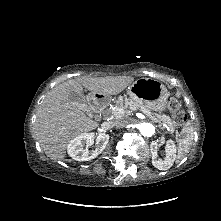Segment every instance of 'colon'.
Instances as JSON below:
<instances>
[{
  "label": "colon",
  "mask_w": 221,
  "mask_h": 221,
  "mask_svg": "<svg viewBox=\"0 0 221 221\" xmlns=\"http://www.w3.org/2000/svg\"><path fill=\"white\" fill-rule=\"evenodd\" d=\"M168 108L172 112L176 124L181 125L185 122L186 114L183 110L179 108L177 100L170 99L168 102Z\"/></svg>",
  "instance_id": "obj_1"
}]
</instances>
